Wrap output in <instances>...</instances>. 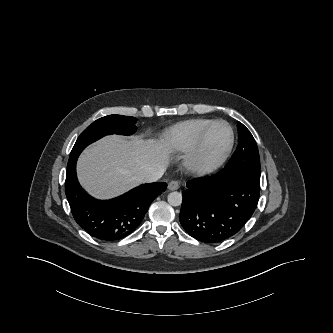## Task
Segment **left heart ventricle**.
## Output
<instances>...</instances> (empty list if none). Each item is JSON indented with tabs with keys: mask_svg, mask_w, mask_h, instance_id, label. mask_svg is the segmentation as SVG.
<instances>
[{
	"mask_svg": "<svg viewBox=\"0 0 333 333\" xmlns=\"http://www.w3.org/2000/svg\"><path fill=\"white\" fill-rule=\"evenodd\" d=\"M229 140V131L223 124L215 125L208 137L202 156L205 161L218 157L225 149Z\"/></svg>",
	"mask_w": 333,
	"mask_h": 333,
	"instance_id": "b2bd125f",
	"label": "left heart ventricle"
}]
</instances>
